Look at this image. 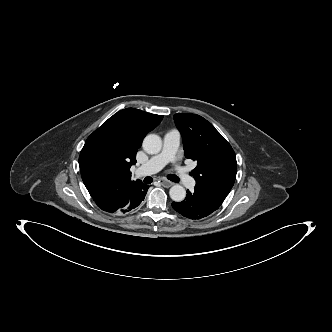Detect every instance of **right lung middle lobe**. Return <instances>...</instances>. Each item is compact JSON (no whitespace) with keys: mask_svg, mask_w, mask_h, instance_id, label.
I'll list each match as a JSON object with an SVG mask.
<instances>
[{"mask_svg":"<svg viewBox=\"0 0 332 332\" xmlns=\"http://www.w3.org/2000/svg\"><path fill=\"white\" fill-rule=\"evenodd\" d=\"M85 143L81 153L94 165L110 164L122 148L121 141L112 128L97 130Z\"/></svg>","mask_w":332,"mask_h":332,"instance_id":"dd1d6c3e","label":"right lung middle lobe"}]
</instances>
